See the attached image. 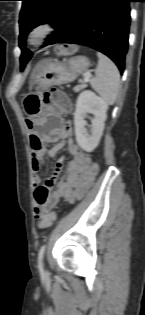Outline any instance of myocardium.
Returning a JSON list of instances; mask_svg holds the SVG:
<instances>
[{
  "label": "myocardium",
  "mask_w": 145,
  "mask_h": 315,
  "mask_svg": "<svg viewBox=\"0 0 145 315\" xmlns=\"http://www.w3.org/2000/svg\"><path fill=\"white\" fill-rule=\"evenodd\" d=\"M54 32V27L49 22H40L34 25L28 35L27 42L32 46H37L43 43L52 33Z\"/></svg>",
  "instance_id": "f54148a6"
}]
</instances>
